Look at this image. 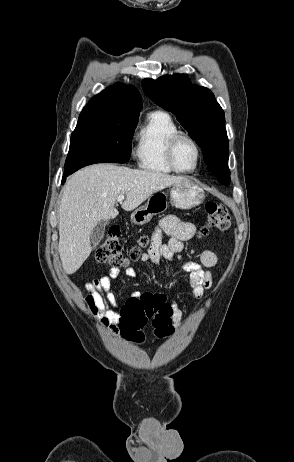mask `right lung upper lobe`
<instances>
[{"label":"right lung upper lobe","instance_id":"right-lung-upper-lobe-1","mask_svg":"<svg viewBox=\"0 0 294 462\" xmlns=\"http://www.w3.org/2000/svg\"><path fill=\"white\" fill-rule=\"evenodd\" d=\"M142 98L133 86L116 83L96 95L84 107L85 112H108L121 115H139Z\"/></svg>","mask_w":294,"mask_h":462}]
</instances>
